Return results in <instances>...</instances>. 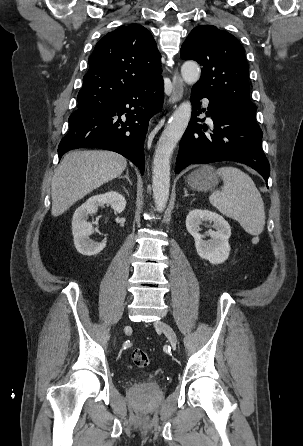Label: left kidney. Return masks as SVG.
Masks as SVG:
<instances>
[{
  "instance_id": "obj_1",
  "label": "left kidney",
  "mask_w": 303,
  "mask_h": 446,
  "mask_svg": "<svg viewBox=\"0 0 303 446\" xmlns=\"http://www.w3.org/2000/svg\"><path fill=\"white\" fill-rule=\"evenodd\" d=\"M207 221L213 222L215 231H207L206 235L210 236V239L205 241L199 233V226ZM186 228L194 237L197 254L202 259L211 264H221L228 259L231 227L222 216L209 210L194 209L187 215Z\"/></svg>"
}]
</instances>
